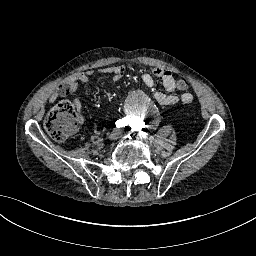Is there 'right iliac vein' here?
<instances>
[{"label": "right iliac vein", "mask_w": 256, "mask_h": 256, "mask_svg": "<svg viewBox=\"0 0 256 256\" xmlns=\"http://www.w3.org/2000/svg\"><path fill=\"white\" fill-rule=\"evenodd\" d=\"M118 138V132L117 131H113L112 133L109 134L108 139L110 141H114Z\"/></svg>", "instance_id": "1"}]
</instances>
